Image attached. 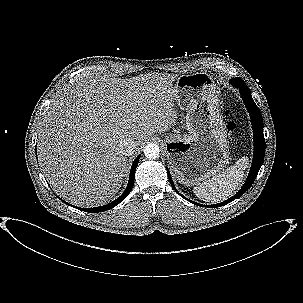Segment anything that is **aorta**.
I'll return each mask as SVG.
<instances>
[{"label": "aorta", "mask_w": 303, "mask_h": 303, "mask_svg": "<svg viewBox=\"0 0 303 303\" xmlns=\"http://www.w3.org/2000/svg\"><path fill=\"white\" fill-rule=\"evenodd\" d=\"M160 149L156 143H148L144 147L145 157L148 159H157L159 157Z\"/></svg>", "instance_id": "aorta-1"}]
</instances>
